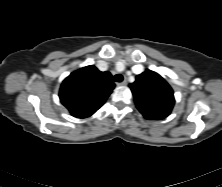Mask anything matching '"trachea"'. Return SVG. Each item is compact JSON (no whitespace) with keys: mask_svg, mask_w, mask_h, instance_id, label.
Listing matches in <instances>:
<instances>
[{"mask_svg":"<svg viewBox=\"0 0 222 187\" xmlns=\"http://www.w3.org/2000/svg\"><path fill=\"white\" fill-rule=\"evenodd\" d=\"M114 81L115 82H122L123 81V76L121 74H116L114 76Z\"/></svg>","mask_w":222,"mask_h":187,"instance_id":"1","label":"trachea"}]
</instances>
